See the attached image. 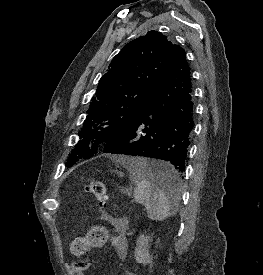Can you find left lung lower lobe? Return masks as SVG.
Instances as JSON below:
<instances>
[{"instance_id":"left-lung-lower-lobe-1","label":"left lung lower lobe","mask_w":263,"mask_h":275,"mask_svg":"<svg viewBox=\"0 0 263 275\" xmlns=\"http://www.w3.org/2000/svg\"><path fill=\"white\" fill-rule=\"evenodd\" d=\"M194 91L185 52L177 49L163 81L128 129L104 145V153L167 161L169 170L146 169L169 193L185 171L194 128Z\"/></svg>"}]
</instances>
